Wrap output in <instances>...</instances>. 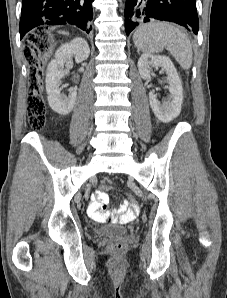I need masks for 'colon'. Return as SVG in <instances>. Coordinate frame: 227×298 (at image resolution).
<instances>
[{"label":"colon","mask_w":227,"mask_h":298,"mask_svg":"<svg viewBox=\"0 0 227 298\" xmlns=\"http://www.w3.org/2000/svg\"><path fill=\"white\" fill-rule=\"evenodd\" d=\"M49 40L47 37L40 41L34 39V35H29L23 47L25 59L31 64L28 80V123L34 129H42L45 126V102L43 97V70L40 65V57L47 53L49 49ZM111 184L108 180H104L99 185V190H110ZM136 196H131L125 202V205L132 207H140V202H135ZM113 253H121L126 249V245L121 242H113L108 246Z\"/></svg>","instance_id":"obj_1"}]
</instances>
